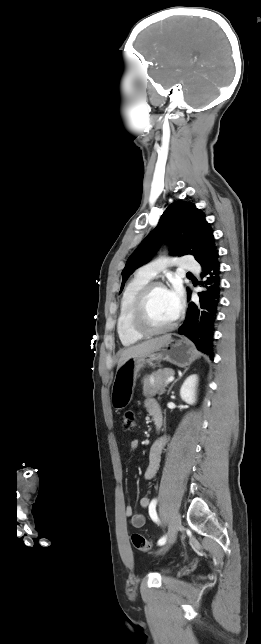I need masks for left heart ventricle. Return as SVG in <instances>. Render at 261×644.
Returning <instances> with one entry per match:
<instances>
[{"mask_svg": "<svg viewBox=\"0 0 261 644\" xmlns=\"http://www.w3.org/2000/svg\"><path fill=\"white\" fill-rule=\"evenodd\" d=\"M177 312L168 290L157 288L149 296L146 305L147 323L154 328L170 324Z\"/></svg>", "mask_w": 261, "mask_h": 644, "instance_id": "1", "label": "left heart ventricle"}]
</instances>
